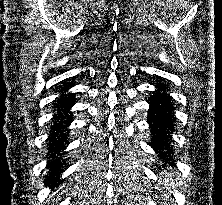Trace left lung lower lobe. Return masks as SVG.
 <instances>
[{"instance_id": "left-lung-lower-lobe-1", "label": "left lung lower lobe", "mask_w": 222, "mask_h": 205, "mask_svg": "<svg viewBox=\"0 0 222 205\" xmlns=\"http://www.w3.org/2000/svg\"><path fill=\"white\" fill-rule=\"evenodd\" d=\"M155 87L157 91L149 98L151 101L148 110V123L153 135L151 145L156 152L159 151L160 158L168 160V156L173 154L169 142L176 118L173 115L171 97L167 94L170 89L163 83H157Z\"/></svg>"}]
</instances>
